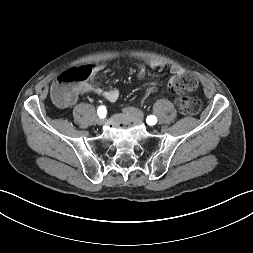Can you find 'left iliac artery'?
<instances>
[{"mask_svg": "<svg viewBox=\"0 0 253 253\" xmlns=\"http://www.w3.org/2000/svg\"><path fill=\"white\" fill-rule=\"evenodd\" d=\"M147 124L154 125L157 122V118L154 115H150L146 119Z\"/></svg>", "mask_w": 253, "mask_h": 253, "instance_id": "44dca946", "label": "left iliac artery"}]
</instances>
